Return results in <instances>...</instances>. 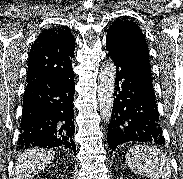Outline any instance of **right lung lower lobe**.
I'll return each mask as SVG.
<instances>
[{"label": "right lung lower lobe", "mask_w": 183, "mask_h": 179, "mask_svg": "<svg viewBox=\"0 0 183 179\" xmlns=\"http://www.w3.org/2000/svg\"><path fill=\"white\" fill-rule=\"evenodd\" d=\"M74 75L69 78L39 77L27 83L17 150L58 147L76 150L73 96Z\"/></svg>", "instance_id": "1"}]
</instances>
